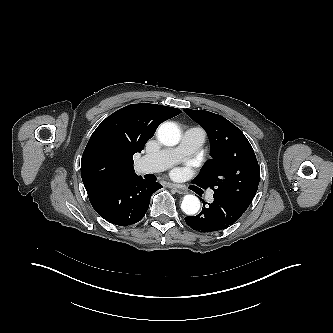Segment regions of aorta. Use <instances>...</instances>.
<instances>
[{
  "instance_id": "aorta-1",
  "label": "aorta",
  "mask_w": 333,
  "mask_h": 333,
  "mask_svg": "<svg viewBox=\"0 0 333 333\" xmlns=\"http://www.w3.org/2000/svg\"><path fill=\"white\" fill-rule=\"evenodd\" d=\"M158 138L166 146L177 145L180 141V130L175 123L164 122L158 128ZM181 209L187 215H194L200 209V201L194 195H185Z\"/></svg>"
}]
</instances>
